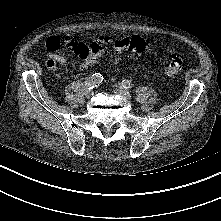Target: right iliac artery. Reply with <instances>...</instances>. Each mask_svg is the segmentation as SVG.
<instances>
[{
  "mask_svg": "<svg viewBox=\"0 0 221 221\" xmlns=\"http://www.w3.org/2000/svg\"><path fill=\"white\" fill-rule=\"evenodd\" d=\"M102 81L103 76L101 74L95 73L86 80L85 85L87 89L92 90L93 88L99 86Z\"/></svg>",
  "mask_w": 221,
  "mask_h": 221,
  "instance_id": "1",
  "label": "right iliac artery"
}]
</instances>
